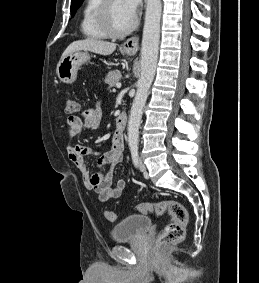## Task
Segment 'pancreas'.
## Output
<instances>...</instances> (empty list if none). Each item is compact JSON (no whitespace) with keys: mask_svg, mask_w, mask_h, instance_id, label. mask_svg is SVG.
I'll use <instances>...</instances> for the list:
<instances>
[{"mask_svg":"<svg viewBox=\"0 0 259 283\" xmlns=\"http://www.w3.org/2000/svg\"><path fill=\"white\" fill-rule=\"evenodd\" d=\"M121 79V72L119 70L109 71L105 76L104 82L108 84V86L114 87Z\"/></svg>","mask_w":259,"mask_h":283,"instance_id":"pancreas-1","label":"pancreas"}]
</instances>
